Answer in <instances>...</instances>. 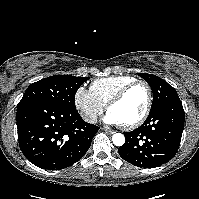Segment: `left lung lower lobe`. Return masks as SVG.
<instances>
[{
    "instance_id": "1",
    "label": "left lung lower lobe",
    "mask_w": 199,
    "mask_h": 199,
    "mask_svg": "<svg viewBox=\"0 0 199 199\" xmlns=\"http://www.w3.org/2000/svg\"><path fill=\"white\" fill-rule=\"evenodd\" d=\"M184 110L180 99L150 110L146 121L137 129L125 132L126 141L119 155L127 162L155 168L175 156L184 128Z\"/></svg>"
}]
</instances>
